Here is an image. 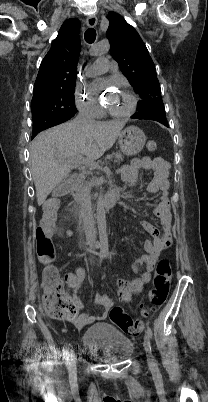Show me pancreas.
Masks as SVG:
<instances>
[{"label":"pancreas","mask_w":208,"mask_h":402,"mask_svg":"<svg viewBox=\"0 0 208 402\" xmlns=\"http://www.w3.org/2000/svg\"><path fill=\"white\" fill-rule=\"evenodd\" d=\"M113 156H115V158H117V162L118 164H120V160H123V156L122 154H119V152H117V154H112V156H109V158H113ZM87 174H89V176H93L92 172H87ZM93 180V186H97V184H95V180L96 178H92ZM95 196H97V194H95Z\"/></svg>","instance_id":"obj_1"}]
</instances>
